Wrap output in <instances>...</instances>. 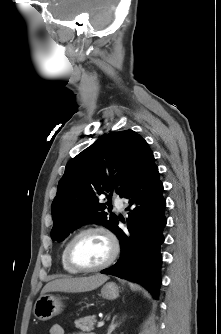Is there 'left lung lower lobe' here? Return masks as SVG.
<instances>
[{
	"instance_id": "left-lung-lower-lobe-1",
	"label": "left lung lower lobe",
	"mask_w": 221,
	"mask_h": 334,
	"mask_svg": "<svg viewBox=\"0 0 221 334\" xmlns=\"http://www.w3.org/2000/svg\"><path fill=\"white\" fill-rule=\"evenodd\" d=\"M162 192L163 184L152 159L123 196L129 203L126 208L130 211L129 232L125 234L118 227V221L113 229L120 239L123 255L115 265L101 272L140 283L156 299L161 284L160 246L166 225V201Z\"/></svg>"
}]
</instances>
